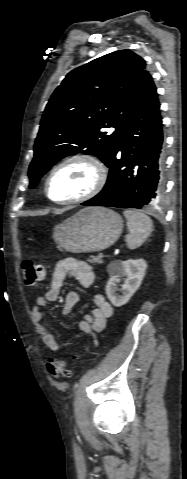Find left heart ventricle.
Wrapping results in <instances>:
<instances>
[{
	"label": "left heart ventricle",
	"mask_w": 187,
	"mask_h": 479,
	"mask_svg": "<svg viewBox=\"0 0 187 479\" xmlns=\"http://www.w3.org/2000/svg\"><path fill=\"white\" fill-rule=\"evenodd\" d=\"M94 182V171L85 162H72L52 177L49 194L54 200H68L87 192Z\"/></svg>",
	"instance_id": "left-heart-ventricle-1"
}]
</instances>
